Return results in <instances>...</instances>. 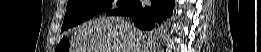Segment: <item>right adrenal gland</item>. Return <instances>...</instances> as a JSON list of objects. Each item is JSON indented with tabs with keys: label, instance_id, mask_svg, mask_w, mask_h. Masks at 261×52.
<instances>
[{
	"label": "right adrenal gland",
	"instance_id": "right-adrenal-gland-1",
	"mask_svg": "<svg viewBox=\"0 0 261 52\" xmlns=\"http://www.w3.org/2000/svg\"><path fill=\"white\" fill-rule=\"evenodd\" d=\"M145 52H155L156 49H148V50H144Z\"/></svg>",
	"mask_w": 261,
	"mask_h": 52
}]
</instances>
